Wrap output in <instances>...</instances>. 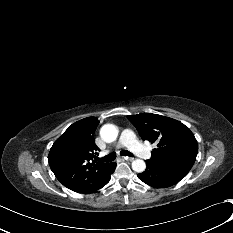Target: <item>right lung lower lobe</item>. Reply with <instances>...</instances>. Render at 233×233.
Instances as JSON below:
<instances>
[{
	"label": "right lung lower lobe",
	"instance_id": "obj_1",
	"mask_svg": "<svg viewBox=\"0 0 233 233\" xmlns=\"http://www.w3.org/2000/svg\"><path fill=\"white\" fill-rule=\"evenodd\" d=\"M116 167V163L112 164L111 169L108 171L107 175L105 176V178L103 179V181H101L94 189L92 192H96L97 190H99L100 188L104 187L109 181H110V176L111 174L114 172ZM91 192V193H92Z\"/></svg>",
	"mask_w": 233,
	"mask_h": 233
}]
</instances>
